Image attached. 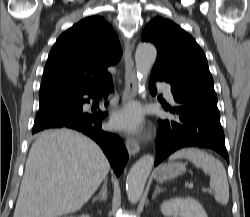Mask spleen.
<instances>
[{"mask_svg":"<svg viewBox=\"0 0 250 217\" xmlns=\"http://www.w3.org/2000/svg\"><path fill=\"white\" fill-rule=\"evenodd\" d=\"M177 158H187L196 167L201 168L206 174L210 175V187L214 191L215 200L227 205L229 201V185L226 170L223 164L208 154L204 150L197 148L181 149L170 156V160Z\"/></svg>","mask_w":250,"mask_h":217,"instance_id":"1","label":"spleen"}]
</instances>
